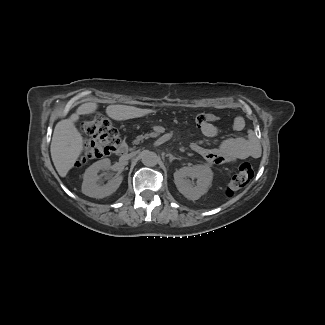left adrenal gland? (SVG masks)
Returning a JSON list of instances; mask_svg holds the SVG:
<instances>
[{"instance_id":"left-adrenal-gland-1","label":"left adrenal gland","mask_w":325,"mask_h":325,"mask_svg":"<svg viewBox=\"0 0 325 325\" xmlns=\"http://www.w3.org/2000/svg\"><path fill=\"white\" fill-rule=\"evenodd\" d=\"M167 157H169V161L172 162L173 160L177 159V160H181L182 157H175L172 154H167Z\"/></svg>"}]
</instances>
